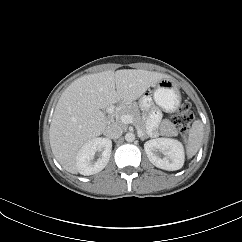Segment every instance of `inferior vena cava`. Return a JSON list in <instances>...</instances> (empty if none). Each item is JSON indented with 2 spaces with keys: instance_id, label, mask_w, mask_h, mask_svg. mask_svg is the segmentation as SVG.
<instances>
[{
  "instance_id": "1",
  "label": "inferior vena cava",
  "mask_w": 242,
  "mask_h": 242,
  "mask_svg": "<svg viewBox=\"0 0 242 242\" xmlns=\"http://www.w3.org/2000/svg\"><path fill=\"white\" fill-rule=\"evenodd\" d=\"M123 133L121 126L117 124L109 125L105 130V135L109 139H118Z\"/></svg>"
}]
</instances>
